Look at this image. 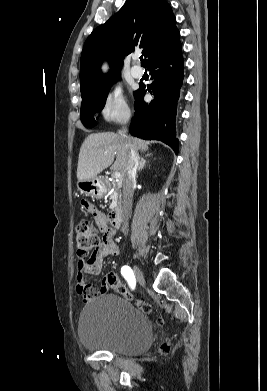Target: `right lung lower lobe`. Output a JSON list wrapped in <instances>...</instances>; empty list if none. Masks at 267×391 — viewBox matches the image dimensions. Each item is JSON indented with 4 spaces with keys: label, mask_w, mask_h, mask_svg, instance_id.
Returning <instances> with one entry per match:
<instances>
[{
    "label": "right lung lower lobe",
    "mask_w": 267,
    "mask_h": 391,
    "mask_svg": "<svg viewBox=\"0 0 267 391\" xmlns=\"http://www.w3.org/2000/svg\"><path fill=\"white\" fill-rule=\"evenodd\" d=\"M183 65L181 43L148 63L153 80L148 90L154 99L146 103L143 100L145 85H140L135 92V113L129 129L134 136L168 144L176 153L179 146L175 136V118L184 76Z\"/></svg>",
    "instance_id": "right-lung-lower-lobe-1"
}]
</instances>
